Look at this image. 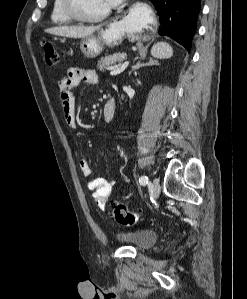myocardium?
I'll use <instances>...</instances> for the list:
<instances>
[{
    "label": "myocardium",
    "instance_id": "obj_1",
    "mask_svg": "<svg viewBox=\"0 0 247 299\" xmlns=\"http://www.w3.org/2000/svg\"><path fill=\"white\" fill-rule=\"evenodd\" d=\"M63 3V9L65 13L75 21L79 22H99L104 20L106 17L109 16L111 13V7L103 11L102 13L95 15V16H87L84 15L78 8L77 1L76 0H62Z\"/></svg>",
    "mask_w": 247,
    "mask_h": 299
}]
</instances>
